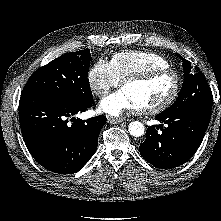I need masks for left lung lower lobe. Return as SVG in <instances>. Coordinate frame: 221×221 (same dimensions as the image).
I'll use <instances>...</instances> for the list:
<instances>
[{
  "label": "left lung lower lobe",
  "mask_w": 221,
  "mask_h": 221,
  "mask_svg": "<svg viewBox=\"0 0 221 221\" xmlns=\"http://www.w3.org/2000/svg\"><path fill=\"white\" fill-rule=\"evenodd\" d=\"M155 118L167 125L148 127L140 154L156 168H174L187 162L199 148L211 119V109L161 112Z\"/></svg>",
  "instance_id": "0a47b994"
}]
</instances>
